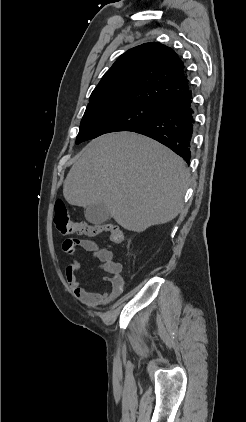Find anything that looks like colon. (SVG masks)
<instances>
[{
  "label": "colon",
  "instance_id": "colon-1",
  "mask_svg": "<svg viewBox=\"0 0 246 422\" xmlns=\"http://www.w3.org/2000/svg\"><path fill=\"white\" fill-rule=\"evenodd\" d=\"M54 223L62 234L77 233L80 235L95 237L103 233H108L113 244L124 241L123 230L114 224L92 225L86 222H77L70 218L68 210L62 201H57L54 206Z\"/></svg>",
  "mask_w": 246,
  "mask_h": 422
}]
</instances>
